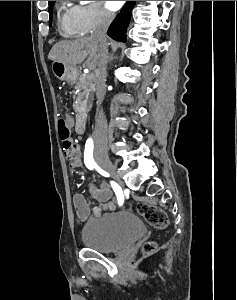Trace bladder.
I'll list each match as a JSON object with an SVG mask.
<instances>
[{
	"mask_svg": "<svg viewBox=\"0 0 237 300\" xmlns=\"http://www.w3.org/2000/svg\"><path fill=\"white\" fill-rule=\"evenodd\" d=\"M144 232L141 219L124 210L89 219L82 227L81 240L87 248L112 253L129 248Z\"/></svg>",
	"mask_w": 237,
	"mask_h": 300,
	"instance_id": "1",
	"label": "bladder"
}]
</instances>
